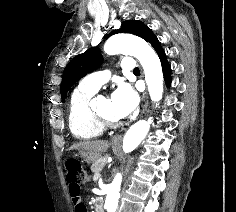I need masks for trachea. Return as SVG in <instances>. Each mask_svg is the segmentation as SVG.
<instances>
[{
  "label": "trachea",
  "mask_w": 236,
  "mask_h": 212,
  "mask_svg": "<svg viewBox=\"0 0 236 212\" xmlns=\"http://www.w3.org/2000/svg\"><path fill=\"white\" fill-rule=\"evenodd\" d=\"M139 72H140L139 68H135V69L133 70V73H139Z\"/></svg>",
  "instance_id": "trachea-1"
}]
</instances>
